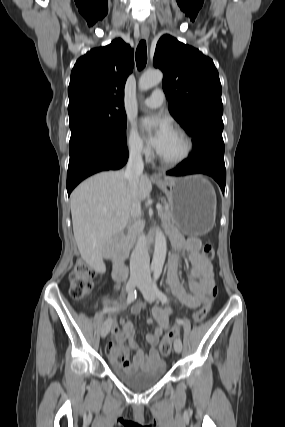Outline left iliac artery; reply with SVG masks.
I'll use <instances>...</instances> for the list:
<instances>
[{
    "label": "left iliac artery",
    "mask_w": 285,
    "mask_h": 427,
    "mask_svg": "<svg viewBox=\"0 0 285 427\" xmlns=\"http://www.w3.org/2000/svg\"><path fill=\"white\" fill-rule=\"evenodd\" d=\"M161 271H162L161 268L155 269V271H154V283L153 284H154L156 294H157V297L159 298V300L162 303H167V301H168L167 296L157 287V280L159 279V277L161 275ZM177 323L183 324V321L181 319H177Z\"/></svg>",
    "instance_id": "44dca946"
}]
</instances>
